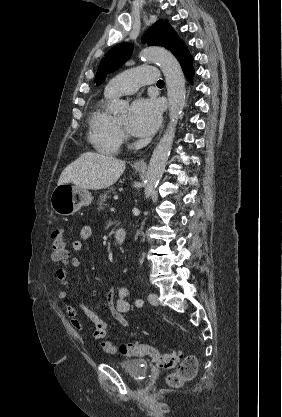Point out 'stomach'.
<instances>
[{"mask_svg": "<svg viewBox=\"0 0 282 417\" xmlns=\"http://www.w3.org/2000/svg\"><path fill=\"white\" fill-rule=\"evenodd\" d=\"M92 200L93 196L89 190L71 182L58 184L50 196L51 206L56 215H74L80 211L81 206H88Z\"/></svg>", "mask_w": 282, "mask_h": 417, "instance_id": "1", "label": "stomach"}]
</instances>
